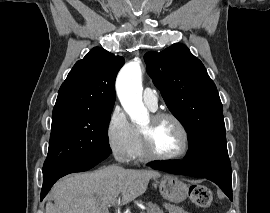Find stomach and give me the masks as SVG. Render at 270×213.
I'll return each mask as SVG.
<instances>
[{
  "instance_id": "stomach-1",
  "label": "stomach",
  "mask_w": 270,
  "mask_h": 213,
  "mask_svg": "<svg viewBox=\"0 0 270 213\" xmlns=\"http://www.w3.org/2000/svg\"><path fill=\"white\" fill-rule=\"evenodd\" d=\"M159 191L166 200L178 203L187 197L188 186L178 177L166 175L160 180Z\"/></svg>"
}]
</instances>
